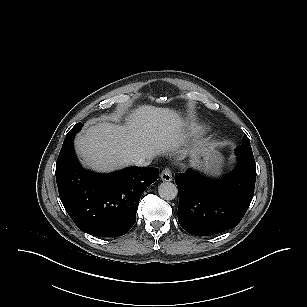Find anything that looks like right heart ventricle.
Wrapping results in <instances>:
<instances>
[{"label": "right heart ventricle", "instance_id": "right-heart-ventricle-1", "mask_svg": "<svg viewBox=\"0 0 307 307\" xmlns=\"http://www.w3.org/2000/svg\"><path fill=\"white\" fill-rule=\"evenodd\" d=\"M191 131L194 133H203L207 131L206 127L200 126L198 124H192L191 125Z\"/></svg>", "mask_w": 307, "mask_h": 307}]
</instances>
